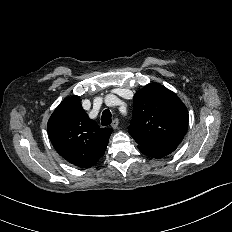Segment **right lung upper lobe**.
<instances>
[{
	"instance_id": "obj_1",
	"label": "right lung upper lobe",
	"mask_w": 232,
	"mask_h": 232,
	"mask_svg": "<svg viewBox=\"0 0 232 232\" xmlns=\"http://www.w3.org/2000/svg\"><path fill=\"white\" fill-rule=\"evenodd\" d=\"M47 128L55 150L81 168L92 167L104 155L113 131L91 120L76 95L65 98L55 109Z\"/></svg>"
}]
</instances>
